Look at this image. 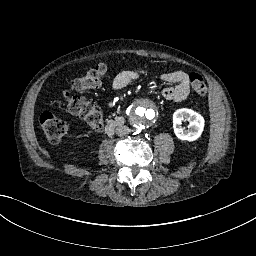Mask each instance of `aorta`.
I'll use <instances>...</instances> for the list:
<instances>
[{
  "label": "aorta",
  "instance_id": "aorta-1",
  "mask_svg": "<svg viewBox=\"0 0 256 256\" xmlns=\"http://www.w3.org/2000/svg\"><path fill=\"white\" fill-rule=\"evenodd\" d=\"M129 116L133 124L141 128H146L154 124L158 116V111L154 103L146 99H141L133 103L129 111Z\"/></svg>",
  "mask_w": 256,
  "mask_h": 256
}]
</instances>
